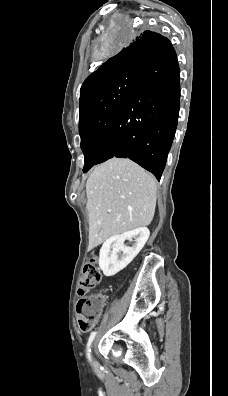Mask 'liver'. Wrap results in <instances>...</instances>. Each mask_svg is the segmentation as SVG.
I'll return each mask as SVG.
<instances>
[{"label": "liver", "mask_w": 228, "mask_h": 396, "mask_svg": "<svg viewBox=\"0 0 228 396\" xmlns=\"http://www.w3.org/2000/svg\"><path fill=\"white\" fill-rule=\"evenodd\" d=\"M156 182L138 164L112 158L97 166L86 183L89 246L148 226L155 213Z\"/></svg>", "instance_id": "6515ba94"}]
</instances>
